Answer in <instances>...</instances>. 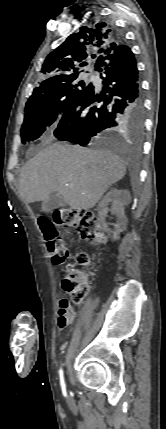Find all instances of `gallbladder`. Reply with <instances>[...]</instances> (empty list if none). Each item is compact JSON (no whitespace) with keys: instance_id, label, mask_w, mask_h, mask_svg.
<instances>
[{"instance_id":"bac80fb5","label":"gallbladder","mask_w":166,"mask_h":429,"mask_svg":"<svg viewBox=\"0 0 166 429\" xmlns=\"http://www.w3.org/2000/svg\"><path fill=\"white\" fill-rule=\"evenodd\" d=\"M66 205L67 203L61 196L53 193L47 200L42 202L41 209L44 212H48L59 207H65Z\"/></svg>"}]
</instances>
